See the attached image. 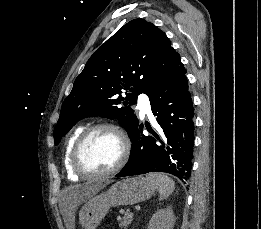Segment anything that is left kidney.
I'll return each mask as SVG.
<instances>
[{
  "instance_id": "5707ae66",
  "label": "left kidney",
  "mask_w": 261,
  "mask_h": 229,
  "mask_svg": "<svg viewBox=\"0 0 261 229\" xmlns=\"http://www.w3.org/2000/svg\"><path fill=\"white\" fill-rule=\"evenodd\" d=\"M175 215L172 207L167 209H159L149 221L148 229H173L175 223Z\"/></svg>"
}]
</instances>
